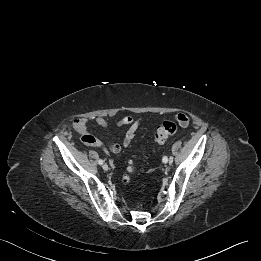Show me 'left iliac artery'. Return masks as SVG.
Here are the masks:
<instances>
[{
    "label": "left iliac artery",
    "instance_id": "left-iliac-artery-1",
    "mask_svg": "<svg viewBox=\"0 0 261 261\" xmlns=\"http://www.w3.org/2000/svg\"><path fill=\"white\" fill-rule=\"evenodd\" d=\"M169 160H170L171 162H173V157L171 156V157L169 158ZM162 161H163L164 163H166V162L168 161L167 156H164L163 159H162Z\"/></svg>",
    "mask_w": 261,
    "mask_h": 261
}]
</instances>
